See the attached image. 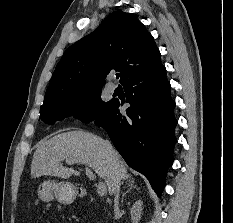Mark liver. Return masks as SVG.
I'll return each mask as SVG.
<instances>
[{
	"label": "liver",
	"instance_id": "liver-1",
	"mask_svg": "<svg viewBox=\"0 0 233 223\" xmlns=\"http://www.w3.org/2000/svg\"><path fill=\"white\" fill-rule=\"evenodd\" d=\"M66 163L88 165L101 179H104L109 195H113V179L115 171H119L120 179L130 177L124 161L116 149L110 153L105 139L89 133V131H66L57 133L50 139L40 141L34 151L31 161V177L41 175H55L62 179H69L80 175L74 167H66Z\"/></svg>",
	"mask_w": 233,
	"mask_h": 223
}]
</instances>
